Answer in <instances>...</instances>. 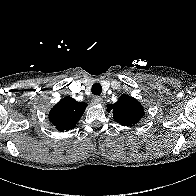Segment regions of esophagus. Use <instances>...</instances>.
Listing matches in <instances>:
<instances>
[{"label":"esophagus","mask_w":196,"mask_h":196,"mask_svg":"<svg viewBox=\"0 0 196 196\" xmlns=\"http://www.w3.org/2000/svg\"><path fill=\"white\" fill-rule=\"evenodd\" d=\"M102 101H103V99H102L101 96H94L93 99H92V102L94 104H100V103H102Z\"/></svg>","instance_id":"34e87169"}]
</instances>
